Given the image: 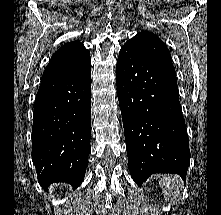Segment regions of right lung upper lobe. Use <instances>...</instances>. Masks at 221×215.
I'll return each mask as SVG.
<instances>
[{
  "label": "right lung upper lobe",
  "mask_w": 221,
  "mask_h": 215,
  "mask_svg": "<svg viewBox=\"0 0 221 215\" xmlns=\"http://www.w3.org/2000/svg\"><path fill=\"white\" fill-rule=\"evenodd\" d=\"M89 56V51L80 42L73 41L64 44L52 56L42 79L50 78L67 72L76 67Z\"/></svg>",
  "instance_id": "right-lung-upper-lobe-1"
}]
</instances>
